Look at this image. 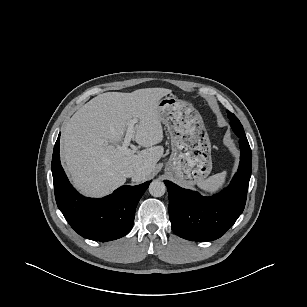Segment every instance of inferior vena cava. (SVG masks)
<instances>
[{
	"label": "inferior vena cava",
	"instance_id": "1",
	"mask_svg": "<svg viewBox=\"0 0 307 307\" xmlns=\"http://www.w3.org/2000/svg\"><path fill=\"white\" fill-rule=\"evenodd\" d=\"M123 173L125 177H129V178H134L139 174V172L133 168L125 169Z\"/></svg>",
	"mask_w": 307,
	"mask_h": 307
}]
</instances>
